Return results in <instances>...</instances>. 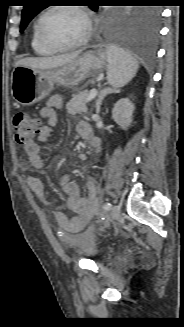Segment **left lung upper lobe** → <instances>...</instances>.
<instances>
[{
	"mask_svg": "<svg viewBox=\"0 0 184 327\" xmlns=\"http://www.w3.org/2000/svg\"><path fill=\"white\" fill-rule=\"evenodd\" d=\"M27 4L24 6L22 11V19H21V29L22 32L27 24L32 20L34 16H36L41 10L46 8V5L43 0H28ZM93 11H96L98 6H90ZM109 18H113L114 13L109 11L108 13Z\"/></svg>",
	"mask_w": 184,
	"mask_h": 327,
	"instance_id": "obj_1",
	"label": "left lung upper lobe"
}]
</instances>
